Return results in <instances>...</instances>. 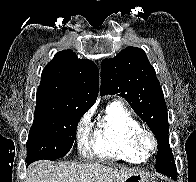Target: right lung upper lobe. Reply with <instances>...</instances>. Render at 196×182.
Returning <instances> with one entry per match:
<instances>
[{
    "label": "right lung upper lobe",
    "mask_w": 196,
    "mask_h": 182,
    "mask_svg": "<svg viewBox=\"0 0 196 182\" xmlns=\"http://www.w3.org/2000/svg\"><path fill=\"white\" fill-rule=\"evenodd\" d=\"M99 71L94 62L72 50L58 52L44 68L35 111L70 109L85 113L98 95Z\"/></svg>",
    "instance_id": "obj_1"
}]
</instances>
